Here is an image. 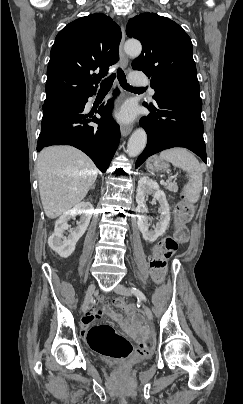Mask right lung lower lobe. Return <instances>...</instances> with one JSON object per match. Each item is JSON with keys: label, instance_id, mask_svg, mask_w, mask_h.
I'll return each mask as SVG.
<instances>
[{"label": "right lung lower lobe", "instance_id": "1", "mask_svg": "<svg viewBox=\"0 0 243 404\" xmlns=\"http://www.w3.org/2000/svg\"><path fill=\"white\" fill-rule=\"evenodd\" d=\"M92 95L60 103L43 111L37 151L51 145H71L86 153L104 173L118 147L120 130L110 116L112 101L99 108L100 119H90L92 115L83 113L85 103ZM89 122L99 126H89Z\"/></svg>", "mask_w": 243, "mask_h": 404}]
</instances>
